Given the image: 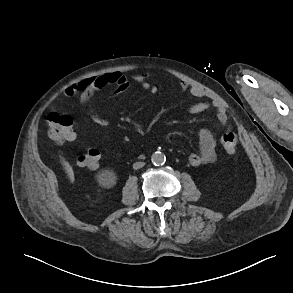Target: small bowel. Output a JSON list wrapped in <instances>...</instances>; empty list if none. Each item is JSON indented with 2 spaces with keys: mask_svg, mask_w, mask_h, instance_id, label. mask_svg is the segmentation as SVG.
Instances as JSON below:
<instances>
[{
  "mask_svg": "<svg viewBox=\"0 0 293 293\" xmlns=\"http://www.w3.org/2000/svg\"><path fill=\"white\" fill-rule=\"evenodd\" d=\"M143 89L149 90L152 94L157 93V87L152 86L147 77L144 75H137L134 79ZM130 82L120 72H110L105 74H100L97 76L85 78L73 86L69 87L65 91L66 96H73L78 94V101L80 103L87 102L95 92L105 89H110V97H115L125 90L128 89ZM179 87L183 91L190 92L195 97H204V90L196 85H190L186 81H180ZM212 108V105L208 102H198L193 104L189 108V113L192 115H197L203 113ZM217 119L221 125L227 123V112L223 106H215ZM93 123L98 126H108L109 121L106 118L101 117L97 113L91 115ZM199 139V152L193 153L189 156V163L193 166H199L204 164L213 163L216 160V140L212 132L208 129H201L198 132Z\"/></svg>",
  "mask_w": 293,
  "mask_h": 293,
  "instance_id": "1",
  "label": "small bowel"
}]
</instances>
